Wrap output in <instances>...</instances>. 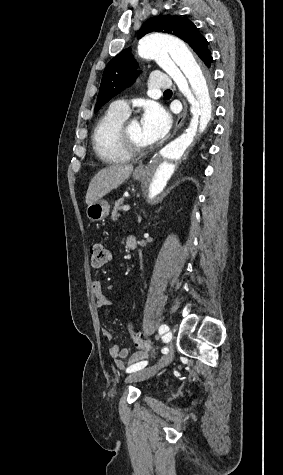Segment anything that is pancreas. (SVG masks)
Masks as SVG:
<instances>
[{"mask_svg":"<svg viewBox=\"0 0 283 475\" xmlns=\"http://www.w3.org/2000/svg\"><path fill=\"white\" fill-rule=\"evenodd\" d=\"M124 202V198H120V200H117V202H115V206L112 210V214H111V220H118V216H120L119 212H121V210H123V204Z\"/></svg>","mask_w":283,"mask_h":475,"instance_id":"1","label":"pancreas"}]
</instances>
